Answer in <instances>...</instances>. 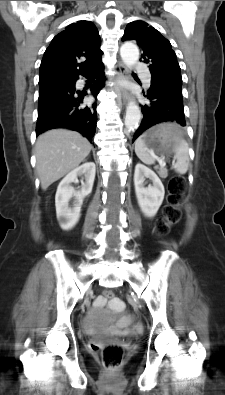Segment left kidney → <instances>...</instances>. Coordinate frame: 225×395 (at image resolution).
<instances>
[{
  "mask_svg": "<svg viewBox=\"0 0 225 395\" xmlns=\"http://www.w3.org/2000/svg\"><path fill=\"white\" fill-rule=\"evenodd\" d=\"M152 181V186L145 187V179ZM134 185L136 197L141 211L147 217H154L164 199V186L160 178L145 165L138 163L135 166Z\"/></svg>",
  "mask_w": 225,
  "mask_h": 395,
  "instance_id": "obj_1",
  "label": "left kidney"
}]
</instances>
